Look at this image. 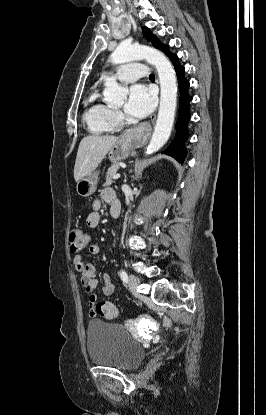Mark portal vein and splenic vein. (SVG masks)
<instances>
[{
	"instance_id": "1",
	"label": "portal vein and splenic vein",
	"mask_w": 266,
	"mask_h": 415,
	"mask_svg": "<svg viewBox=\"0 0 266 415\" xmlns=\"http://www.w3.org/2000/svg\"><path fill=\"white\" fill-rule=\"evenodd\" d=\"M118 178H120V174H115V175L113 176V179H118Z\"/></svg>"
}]
</instances>
